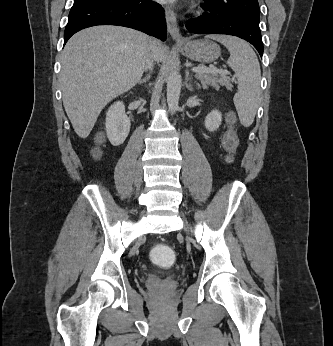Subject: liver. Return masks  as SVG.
Instances as JSON below:
<instances>
[{
	"label": "liver",
	"instance_id": "6515ba94",
	"mask_svg": "<svg viewBox=\"0 0 333 346\" xmlns=\"http://www.w3.org/2000/svg\"><path fill=\"white\" fill-rule=\"evenodd\" d=\"M148 52L158 62L166 59L158 40L125 27L95 26L69 39L60 82L65 111L80 138L89 136L107 103L140 81Z\"/></svg>",
	"mask_w": 333,
	"mask_h": 346
}]
</instances>
